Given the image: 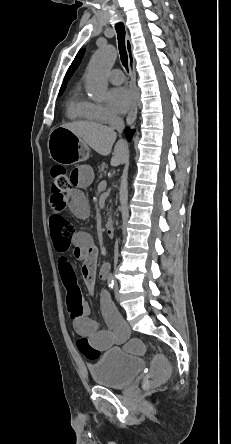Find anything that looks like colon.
Wrapping results in <instances>:
<instances>
[{
	"instance_id": "1",
	"label": "colon",
	"mask_w": 231,
	"mask_h": 444,
	"mask_svg": "<svg viewBox=\"0 0 231 444\" xmlns=\"http://www.w3.org/2000/svg\"><path fill=\"white\" fill-rule=\"evenodd\" d=\"M50 175L52 196L57 198L64 197L70 190L67 170L63 166L55 165L51 168ZM77 347L88 360H96L101 356V352L94 348L85 337L80 338L77 341ZM128 348L130 351L137 354H142L145 350L144 344L138 339L130 340ZM168 373L169 367L166 359L162 355H156L151 362L150 372L144 380L145 387H149L164 380Z\"/></svg>"
}]
</instances>
